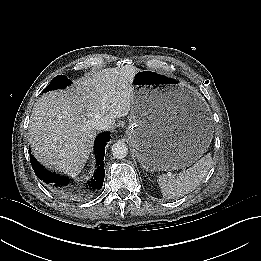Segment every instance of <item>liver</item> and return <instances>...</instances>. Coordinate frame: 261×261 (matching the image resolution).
Returning <instances> with one entry per match:
<instances>
[{
	"label": "liver",
	"instance_id": "liver-1",
	"mask_svg": "<svg viewBox=\"0 0 261 261\" xmlns=\"http://www.w3.org/2000/svg\"><path fill=\"white\" fill-rule=\"evenodd\" d=\"M139 71L132 65L107 68L78 79L72 91L43 94L29 124V142L38 161L69 175L79 173L96 135L92 118L101 114L112 128L116 118L127 116Z\"/></svg>",
	"mask_w": 261,
	"mask_h": 261
}]
</instances>
